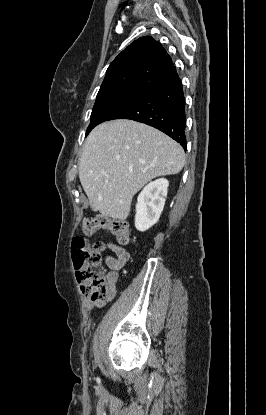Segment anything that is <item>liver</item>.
<instances>
[{
    "label": "liver",
    "mask_w": 266,
    "mask_h": 415,
    "mask_svg": "<svg viewBox=\"0 0 266 415\" xmlns=\"http://www.w3.org/2000/svg\"><path fill=\"white\" fill-rule=\"evenodd\" d=\"M184 164L176 141L143 123L118 119L89 134L79 179L94 212L125 220L134 194L156 177L179 173Z\"/></svg>",
    "instance_id": "obj_1"
}]
</instances>
